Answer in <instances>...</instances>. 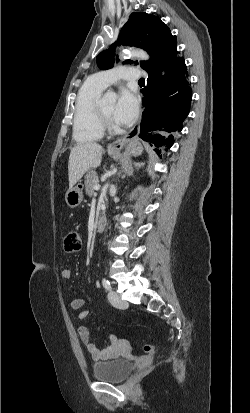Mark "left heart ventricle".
Returning a JSON list of instances; mask_svg holds the SVG:
<instances>
[{"mask_svg":"<svg viewBox=\"0 0 250 413\" xmlns=\"http://www.w3.org/2000/svg\"><path fill=\"white\" fill-rule=\"evenodd\" d=\"M101 108L104 110V112L106 114H108L112 118L114 117V110H115V103L114 102L103 103L101 105Z\"/></svg>","mask_w":250,"mask_h":413,"instance_id":"obj_1","label":"left heart ventricle"}]
</instances>
